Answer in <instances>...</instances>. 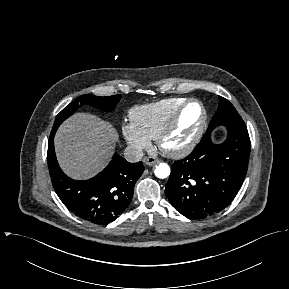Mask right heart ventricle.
Returning a JSON list of instances; mask_svg holds the SVG:
<instances>
[{"mask_svg": "<svg viewBox=\"0 0 289 289\" xmlns=\"http://www.w3.org/2000/svg\"><path fill=\"white\" fill-rule=\"evenodd\" d=\"M186 100L184 97H170L130 111L132 122L150 139H157L178 107Z\"/></svg>", "mask_w": 289, "mask_h": 289, "instance_id": "right-heart-ventricle-1", "label": "right heart ventricle"}]
</instances>
